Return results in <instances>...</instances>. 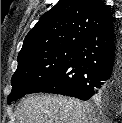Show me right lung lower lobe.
<instances>
[{
	"label": "right lung lower lobe",
	"mask_w": 122,
	"mask_h": 123,
	"mask_svg": "<svg viewBox=\"0 0 122 123\" xmlns=\"http://www.w3.org/2000/svg\"><path fill=\"white\" fill-rule=\"evenodd\" d=\"M46 92L89 100L122 96V39L112 20L94 31L72 58L28 94Z\"/></svg>",
	"instance_id": "98d812e1"
}]
</instances>
